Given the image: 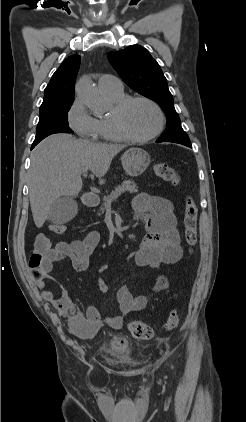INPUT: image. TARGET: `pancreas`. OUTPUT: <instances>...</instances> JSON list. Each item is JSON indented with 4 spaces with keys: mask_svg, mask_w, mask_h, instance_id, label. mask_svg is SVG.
<instances>
[{
    "mask_svg": "<svg viewBox=\"0 0 246 422\" xmlns=\"http://www.w3.org/2000/svg\"><path fill=\"white\" fill-rule=\"evenodd\" d=\"M124 192H138V188L135 182L132 180H125L121 185L117 186L109 195L104 196L103 203L99 208L101 214H103L104 211L111 205L113 200L117 199Z\"/></svg>",
    "mask_w": 246,
    "mask_h": 422,
    "instance_id": "cf45deb5",
    "label": "pancreas"
}]
</instances>
